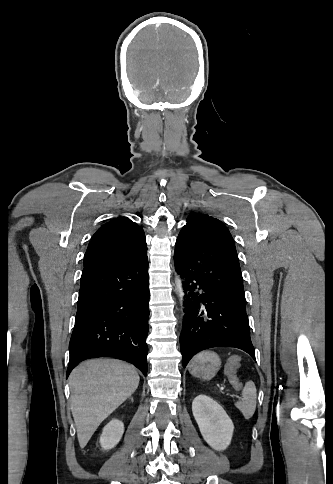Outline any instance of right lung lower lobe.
Returning <instances> with one entry per match:
<instances>
[{"instance_id": "1", "label": "right lung lower lobe", "mask_w": 333, "mask_h": 484, "mask_svg": "<svg viewBox=\"0 0 333 484\" xmlns=\"http://www.w3.org/2000/svg\"><path fill=\"white\" fill-rule=\"evenodd\" d=\"M147 250L119 262L85 265L71 336L67 376L81 361L115 357L147 374Z\"/></svg>"}]
</instances>
